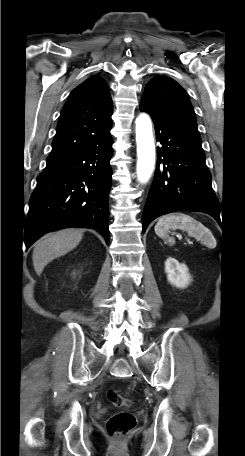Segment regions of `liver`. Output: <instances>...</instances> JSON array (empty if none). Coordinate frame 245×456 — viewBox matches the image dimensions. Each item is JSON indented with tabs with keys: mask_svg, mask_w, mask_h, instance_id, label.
Listing matches in <instances>:
<instances>
[{
	"mask_svg": "<svg viewBox=\"0 0 245 456\" xmlns=\"http://www.w3.org/2000/svg\"><path fill=\"white\" fill-rule=\"evenodd\" d=\"M83 230L63 229L50 233L40 239L33 250L32 260L37 275H41L45 266L55 258L73 250L82 240Z\"/></svg>",
	"mask_w": 245,
	"mask_h": 456,
	"instance_id": "6515ba94",
	"label": "liver"
}]
</instances>
